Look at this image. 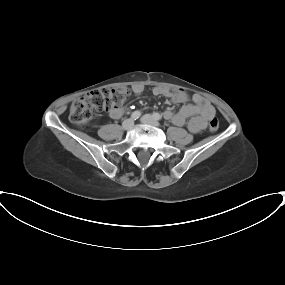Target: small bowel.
<instances>
[{"instance_id": "obj_1", "label": "small bowel", "mask_w": 285, "mask_h": 285, "mask_svg": "<svg viewBox=\"0 0 285 285\" xmlns=\"http://www.w3.org/2000/svg\"><path fill=\"white\" fill-rule=\"evenodd\" d=\"M132 92L139 96L144 92V86L134 84ZM155 96H165L171 99L174 103H185L187 100L186 93L182 90H172L165 86H156L152 89ZM194 104H184L177 112L167 110L164 112V117L170 120L175 125L181 126L188 121V129L197 133L205 128L207 122L215 117V109L211 103L202 95H193ZM124 113L123 107H114L109 110V116L113 119L120 118Z\"/></svg>"}]
</instances>
